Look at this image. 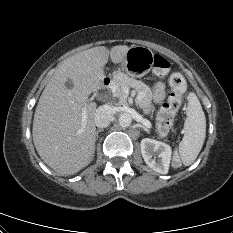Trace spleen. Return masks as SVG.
Here are the masks:
<instances>
[{
    "instance_id": "spleen-1",
    "label": "spleen",
    "mask_w": 233,
    "mask_h": 233,
    "mask_svg": "<svg viewBox=\"0 0 233 233\" xmlns=\"http://www.w3.org/2000/svg\"><path fill=\"white\" fill-rule=\"evenodd\" d=\"M187 100L185 133L179 143V157L174 158L175 166H177L179 158L185 166L191 165L199 155L206 136V118L197 96L194 93H189Z\"/></svg>"
}]
</instances>
